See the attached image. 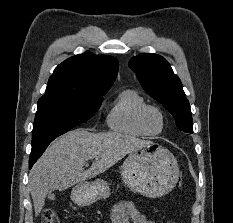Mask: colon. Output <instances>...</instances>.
Returning <instances> with one entry per match:
<instances>
[{"label": "colon", "instance_id": "obj_1", "mask_svg": "<svg viewBox=\"0 0 233 223\" xmlns=\"http://www.w3.org/2000/svg\"><path fill=\"white\" fill-rule=\"evenodd\" d=\"M43 223H59L58 216L51 208L44 209L42 212ZM167 223H174V220L169 219Z\"/></svg>", "mask_w": 233, "mask_h": 223}]
</instances>
